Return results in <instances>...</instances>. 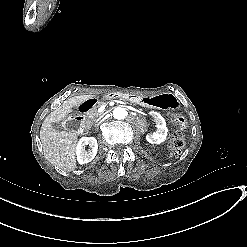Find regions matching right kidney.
<instances>
[{
    "label": "right kidney",
    "mask_w": 247,
    "mask_h": 247,
    "mask_svg": "<svg viewBox=\"0 0 247 247\" xmlns=\"http://www.w3.org/2000/svg\"><path fill=\"white\" fill-rule=\"evenodd\" d=\"M86 146L89 149L86 150ZM98 151V142L95 137H83L77 147V158L80 164H85L91 162Z\"/></svg>",
    "instance_id": "ca27d5eb"
}]
</instances>
